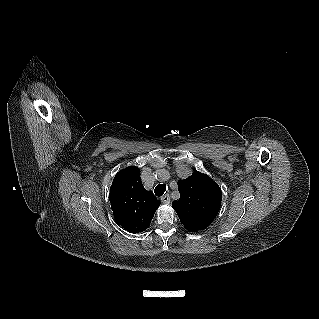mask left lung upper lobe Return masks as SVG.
Wrapping results in <instances>:
<instances>
[{
    "mask_svg": "<svg viewBox=\"0 0 319 319\" xmlns=\"http://www.w3.org/2000/svg\"><path fill=\"white\" fill-rule=\"evenodd\" d=\"M180 199L172 203L181 223L190 232L206 229L220 209L222 192L216 182L194 172L178 181Z\"/></svg>",
    "mask_w": 319,
    "mask_h": 319,
    "instance_id": "left-lung-upper-lobe-1",
    "label": "left lung upper lobe"
}]
</instances>
